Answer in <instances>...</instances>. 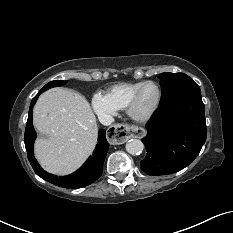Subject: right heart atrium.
<instances>
[{"instance_id": "right-heart-atrium-1", "label": "right heart atrium", "mask_w": 233, "mask_h": 233, "mask_svg": "<svg viewBox=\"0 0 233 233\" xmlns=\"http://www.w3.org/2000/svg\"><path fill=\"white\" fill-rule=\"evenodd\" d=\"M91 105L94 112L103 121L110 119L118 111V109L110 102L107 96L99 92L92 96Z\"/></svg>"}]
</instances>
